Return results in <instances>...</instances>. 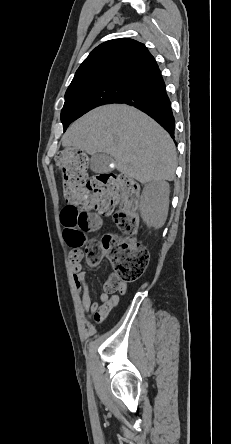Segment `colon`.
Masks as SVG:
<instances>
[{
  "instance_id": "colon-1",
  "label": "colon",
  "mask_w": 231,
  "mask_h": 444,
  "mask_svg": "<svg viewBox=\"0 0 231 444\" xmlns=\"http://www.w3.org/2000/svg\"><path fill=\"white\" fill-rule=\"evenodd\" d=\"M86 155L75 149H63L56 157L62 174L63 194L67 205L62 210V224L83 234L98 229L102 218L114 214L121 231L132 234L138 227L136 214L140 194L138 183L131 177L105 173L88 178ZM84 256L94 267L103 256L113 266L104 282L107 294L117 291L123 283L138 280L149 264V252L132 238L107 234L101 240H88Z\"/></svg>"
}]
</instances>
